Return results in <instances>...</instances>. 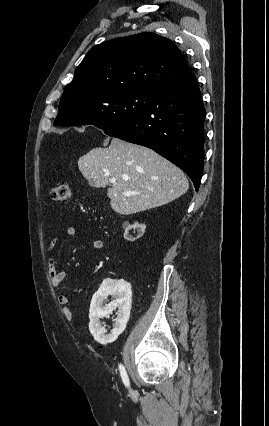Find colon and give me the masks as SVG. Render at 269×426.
Here are the masks:
<instances>
[{
    "instance_id": "5ec220e1",
    "label": "colon",
    "mask_w": 269,
    "mask_h": 426,
    "mask_svg": "<svg viewBox=\"0 0 269 426\" xmlns=\"http://www.w3.org/2000/svg\"><path fill=\"white\" fill-rule=\"evenodd\" d=\"M70 197L71 191L66 182H58L51 189V198L56 202L67 203Z\"/></svg>"
}]
</instances>
